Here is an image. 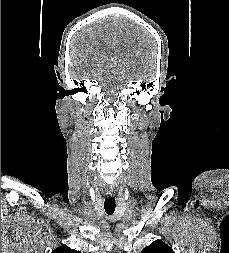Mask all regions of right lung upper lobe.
I'll use <instances>...</instances> for the list:
<instances>
[{"mask_svg": "<svg viewBox=\"0 0 229 253\" xmlns=\"http://www.w3.org/2000/svg\"><path fill=\"white\" fill-rule=\"evenodd\" d=\"M52 253H80V252L64 245V246H61V247L53 250Z\"/></svg>", "mask_w": 229, "mask_h": 253, "instance_id": "obj_1", "label": "right lung upper lobe"}]
</instances>
